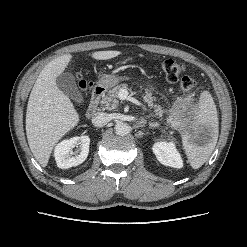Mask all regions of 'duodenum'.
<instances>
[{"instance_id": "duodenum-1", "label": "duodenum", "mask_w": 247, "mask_h": 247, "mask_svg": "<svg viewBox=\"0 0 247 247\" xmlns=\"http://www.w3.org/2000/svg\"><path fill=\"white\" fill-rule=\"evenodd\" d=\"M104 92H105L104 87H102L100 85H96L93 87L90 103H89L88 108L86 110V116L88 118L94 116L95 113L97 112L99 102H100L102 96L104 95Z\"/></svg>"}]
</instances>
